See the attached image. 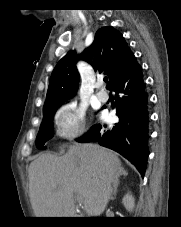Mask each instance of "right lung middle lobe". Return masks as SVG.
I'll use <instances>...</instances> for the list:
<instances>
[{
  "label": "right lung middle lobe",
  "mask_w": 181,
  "mask_h": 227,
  "mask_svg": "<svg viewBox=\"0 0 181 227\" xmlns=\"http://www.w3.org/2000/svg\"><path fill=\"white\" fill-rule=\"evenodd\" d=\"M62 104H57V105L44 108V119L42 121V124L40 126V129L37 135V139H36V145L39 149H46L47 148L45 146L46 142L53 137L54 132H53L52 119L55 111Z\"/></svg>",
  "instance_id": "1"
}]
</instances>
